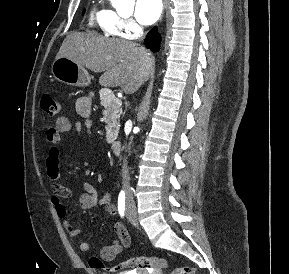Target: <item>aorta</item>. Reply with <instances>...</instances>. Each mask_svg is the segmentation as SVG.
Listing matches in <instances>:
<instances>
[{"mask_svg": "<svg viewBox=\"0 0 289 274\" xmlns=\"http://www.w3.org/2000/svg\"><path fill=\"white\" fill-rule=\"evenodd\" d=\"M134 0H111L112 5L116 8L131 6Z\"/></svg>", "mask_w": 289, "mask_h": 274, "instance_id": "1", "label": "aorta"}]
</instances>
